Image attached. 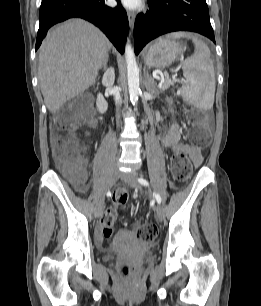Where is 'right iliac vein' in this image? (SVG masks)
Masks as SVG:
<instances>
[{"mask_svg":"<svg viewBox=\"0 0 261 306\" xmlns=\"http://www.w3.org/2000/svg\"><path fill=\"white\" fill-rule=\"evenodd\" d=\"M119 169L118 167L114 166L111 168L110 173H109V179H108V183H107V189L111 188L115 182L118 180L119 178ZM103 207H104V195L98 200L97 204H96V210H95V217L98 218L102 211H103Z\"/></svg>","mask_w":261,"mask_h":306,"instance_id":"right-iliac-vein-1","label":"right iliac vein"}]
</instances>
